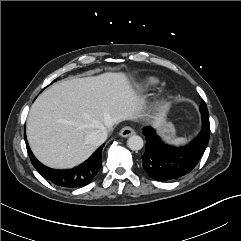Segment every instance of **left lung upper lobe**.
Masks as SVG:
<instances>
[{
  "label": "left lung upper lobe",
  "instance_id": "1",
  "mask_svg": "<svg viewBox=\"0 0 241 241\" xmlns=\"http://www.w3.org/2000/svg\"><path fill=\"white\" fill-rule=\"evenodd\" d=\"M200 112H201V115H202V119L209 116L206 104L203 100H202L201 105H200Z\"/></svg>",
  "mask_w": 241,
  "mask_h": 241
}]
</instances>
